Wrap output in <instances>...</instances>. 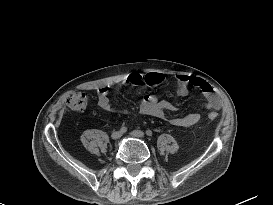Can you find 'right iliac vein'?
I'll use <instances>...</instances> for the list:
<instances>
[{
    "instance_id": "right-iliac-vein-1",
    "label": "right iliac vein",
    "mask_w": 273,
    "mask_h": 205,
    "mask_svg": "<svg viewBox=\"0 0 273 205\" xmlns=\"http://www.w3.org/2000/svg\"><path fill=\"white\" fill-rule=\"evenodd\" d=\"M121 136H122V132H120V131H114V132L111 134V138H112L113 140H117V139H119Z\"/></svg>"
}]
</instances>
